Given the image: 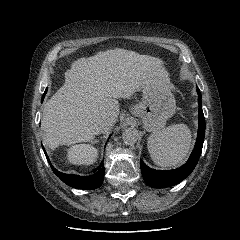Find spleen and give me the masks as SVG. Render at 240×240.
<instances>
[{"mask_svg": "<svg viewBox=\"0 0 240 240\" xmlns=\"http://www.w3.org/2000/svg\"><path fill=\"white\" fill-rule=\"evenodd\" d=\"M191 132L185 124H175L153 132L148 139V151L155 164L161 167L181 163L191 148Z\"/></svg>", "mask_w": 240, "mask_h": 240, "instance_id": "spleen-1", "label": "spleen"}]
</instances>
